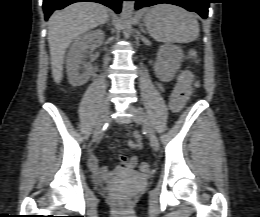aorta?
<instances>
[{
	"label": "aorta",
	"mask_w": 260,
	"mask_h": 217,
	"mask_svg": "<svg viewBox=\"0 0 260 217\" xmlns=\"http://www.w3.org/2000/svg\"><path fill=\"white\" fill-rule=\"evenodd\" d=\"M134 7V1H123L122 3V11L120 17L122 22L123 34L126 38H128L132 32Z\"/></svg>",
	"instance_id": "762f6f07"
}]
</instances>
